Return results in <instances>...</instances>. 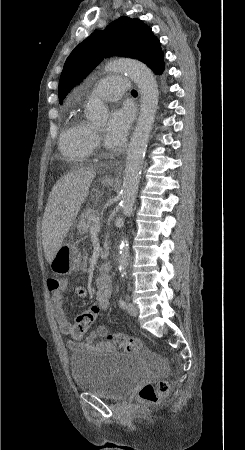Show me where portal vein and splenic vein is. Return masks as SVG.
Returning a JSON list of instances; mask_svg holds the SVG:
<instances>
[{"instance_id": "portal-vein-and-splenic-vein-1", "label": "portal vein and splenic vein", "mask_w": 245, "mask_h": 450, "mask_svg": "<svg viewBox=\"0 0 245 450\" xmlns=\"http://www.w3.org/2000/svg\"><path fill=\"white\" fill-rule=\"evenodd\" d=\"M101 226L99 216H95L93 218V226L91 227V231L99 230Z\"/></svg>"}]
</instances>
